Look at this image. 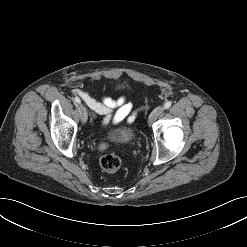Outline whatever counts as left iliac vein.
<instances>
[{
    "label": "left iliac vein",
    "mask_w": 247,
    "mask_h": 247,
    "mask_svg": "<svg viewBox=\"0 0 247 247\" xmlns=\"http://www.w3.org/2000/svg\"><path fill=\"white\" fill-rule=\"evenodd\" d=\"M164 109L165 108L163 106L156 107L149 115L148 122L149 123L154 122L164 112Z\"/></svg>",
    "instance_id": "obj_1"
}]
</instances>
